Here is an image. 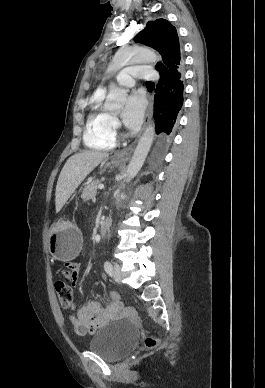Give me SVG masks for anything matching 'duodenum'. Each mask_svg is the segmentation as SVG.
<instances>
[{
  "mask_svg": "<svg viewBox=\"0 0 265 388\" xmlns=\"http://www.w3.org/2000/svg\"><path fill=\"white\" fill-rule=\"evenodd\" d=\"M111 226V220L109 218L104 219L100 224V233L105 235Z\"/></svg>",
  "mask_w": 265,
  "mask_h": 388,
  "instance_id": "1",
  "label": "duodenum"
}]
</instances>
